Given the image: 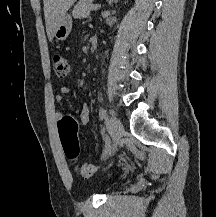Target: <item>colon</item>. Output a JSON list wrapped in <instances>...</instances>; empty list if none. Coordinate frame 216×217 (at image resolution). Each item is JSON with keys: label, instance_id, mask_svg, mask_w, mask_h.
I'll list each match as a JSON object with an SVG mask.
<instances>
[{"label": "colon", "instance_id": "1", "mask_svg": "<svg viewBox=\"0 0 216 217\" xmlns=\"http://www.w3.org/2000/svg\"><path fill=\"white\" fill-rule=\"evenodd\" d=\"M53 71L59 79H65L70 71L69 59L63 55L56 54L53 58ZM58 127L65 157L74 162L79 156L78 122L71 116H64ZM76 170L84 178L94 175L97 171L96 167L91 164L79 165Z\"/></svg>", "mask_w": 216, "mask_h": 217}]
</instances>
